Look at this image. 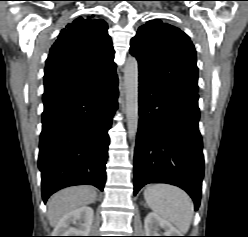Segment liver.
I'll list each match as a JSON object with an SVG mask.
<instances>
[{
	"mask_svg": "<svg viewBox=\"0 0 248 237\" xmlns=\"http://www.w3.org/2000/svg\"><path fill=\"white\" fill-rule=\"evenodd\" d=\"M97 192L91 186H75L65 188L48 200L47 214L52 227H55L63 216L80 207L95 201Z\"/></svg>",
	"mask_w": 248,
	"mask_h": 237,
	"instance_id": "1",
	"label": "liver"
}]
</instances>
